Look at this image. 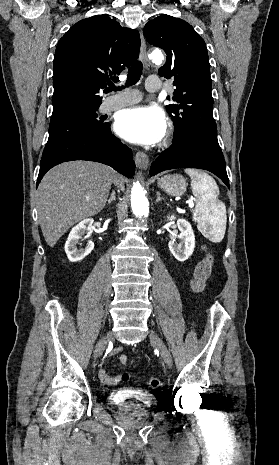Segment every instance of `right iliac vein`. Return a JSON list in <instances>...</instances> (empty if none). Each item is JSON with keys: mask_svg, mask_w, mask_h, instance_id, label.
I'll list each match as a JSON object with an SVG mask.
<instances>
[{"mask_svg": "<svg viewBox=\"0 0 279 465\" xmlns=\"http://www.w3.org/2000/svg\"><path fill=\"white\" fill-rule=\"evenodd\" d=\"M111 337L110 334H107V336L103 337L99 343L97 344L96 350H95V358H99L103 351L105 350L106 344L108 339Z\"/></svg>", "mask_w": 279, "mask_h": 465, "instance_id": "right-iliac-vein-1", "label": "right iliac vein"}]
</instances>
